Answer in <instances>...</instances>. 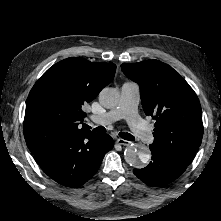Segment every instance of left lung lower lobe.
<instances>
[{
	"instance_id": "obj_1",
	"label": "left lung lower lobe",
	"mask_w": 221,
	"mask_h": 221,
	"mask_svg": "<svg viewBox=\"0 0 221 221\" xmlns=\"http://www.w3.org/2000/svg\"><path fill=\"white\" fill-rule=\"evenodd\" d=\"M152 161L142 169H134V174L144 183L154 187H161L176 180L187 168L167 154L150 148Z\"/></svg>"
}]
</instances>
